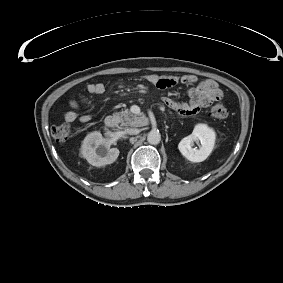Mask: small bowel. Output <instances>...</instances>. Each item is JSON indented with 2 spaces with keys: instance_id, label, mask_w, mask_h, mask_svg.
<instances>
[{
  "instance_id": "1",
  "label": "small bowel",
  "mask_w": 283,
  "mask_h": 283,
  "mask_svg": "<svg viewBox=\"0 0 283 283\" xmlns=\"http://www.w3.org/2000/svg\"><path fill=\"white\" fill-rule=\"evenodd\" d=\"M143 79L153 85L158 86L161 89L170 87L174 80L170 78H162L157 74H145ZM184 84L196 83L194 87H191L187 91L188 100L184 103H177L169 97H164L165 104L171 108L177 109L184 115H193L197 113L201 108L209 106L211 103L220 100L223 97L222 90L218 87V84L212 79H204L198 81L195 76L186 75L181 78ZM87 92L90 94H102L105 90L102 83H90L86 87ZM70 110L65 112L64 120L66 122H74L79 120L82 123H87L91 120V116L88 114L80 115V105L76 100H70L68 102Z\"/></svg>"
}]
</instances>
